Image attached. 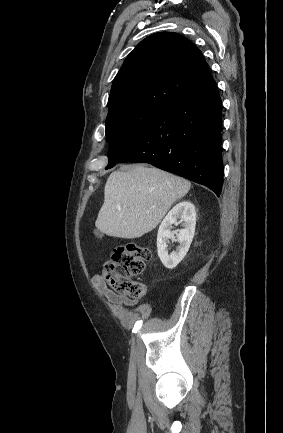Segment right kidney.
<instances>
[{
	"instance_id": "1",
	"label": "right kidney",
	"mask_w": 283,
	"mask_h": 433,
	"mask_svg": "<svg viewBox=\"0 0 283 433\" xmlns=\"http://www.w3.org/2000/svg\"><path fill=\"white\" fill-rule=\"evenodd\" d=\"M182 222L183 228L178 230L179 246L171 254L167 250V242L174 237L172 225ZM196 225L195 206L189 201H182L173 207L159 226L157 235V252L163 265L168 269L175 268L187 254L194 237Z\"/></svg>"
}]
</instances>
